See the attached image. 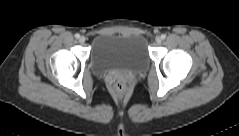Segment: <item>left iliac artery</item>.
<instances>
[{
  "label": "left iliac artery",
  "mask_w": 239,
  "mask_h": 136,
  "mask_svg": "<svg viewBox=\"0 0 239 136\" xmlns=\"http://www.w3.org/2000/svg\"><path fill=\"white\" fill-rule=\"evenodd\" d=\"M166 38V35L165 34H162L161 35V39H165Z\"/></svg>",
  "instance_id": "left-iliac-artery-1"
}]
</instances>
